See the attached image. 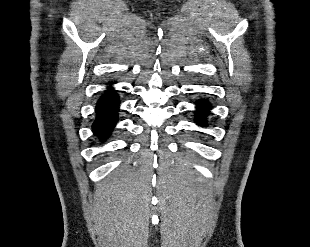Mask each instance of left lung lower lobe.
<instances>
[{
  "label": "left lung lower lobe",
  "mask_w": 310,
  "mask_h": 247,
  "mask_svg": "<svg viewBox=\"0 0 310 247\" xmlns=\"http://www.w3.org/2000/svg\"><path fill=\"white\" fill-rule=\"evenodd\" d=\"M197 106H198V112L200 113V116L197 119L196 123L201 126H205L206 125V123L204 122L205 115L210 110V104L207 101H198Z\"/></svg>",
  "instance_id": "1"
}]
</instances>
